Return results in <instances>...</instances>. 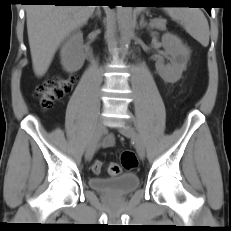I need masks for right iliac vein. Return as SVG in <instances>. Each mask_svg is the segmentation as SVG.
<instances>
[{
  "instance_id": "obj_1",
  "label": "right iliac vein",
  "mask_w": 231,
  "mask_h": 231,
  "mask_svg": "<svg viewBox=\"0 0 231 231\" xmlns=\"http://www.w3.org/2000/svg\"><path fill=\"white\" fill-rule=\"evenodd\" d=\"M105 131V126L101 120H99L94 128L93 136L87 146L85 158L90 161L98 147L99 141L102 138Z\"/></svg>"
}]
</instances>
